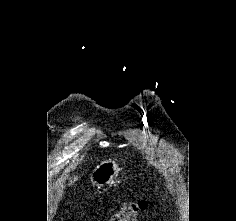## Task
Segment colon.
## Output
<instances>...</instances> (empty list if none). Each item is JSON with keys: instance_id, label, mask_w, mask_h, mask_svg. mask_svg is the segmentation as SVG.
I'll list each match as a JSON object with an SVG mask.
<instances>
[{"instance_id": "1", "label": "colon", "mask_w": 236, "mask_h": 221, "mask_svg": "<svg viewBox=\"0 0 236 221\" xmlns=\"http://www.w3.org/2000/svg\"><path fill=\"white\" fill-rule=\"evenodd\" d=\"M148 206L147 201L124 203L112 213L107 221H138Z\"/></svg>"}]
</instances>
